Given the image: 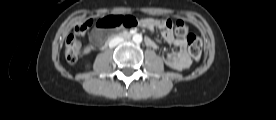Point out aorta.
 Listing matches in <instances>:
<instances>
[{"mask_svg":"<svg viewBox=\"0 0 276 120\" xmlns=\"http://www.w3.org/2000/svg\"><path fill=\"white\" fill-rule=\"evenodd\" d=\"M132 41L136 44H140L142 42V35L141 34H134L132 37Z\"/></svg>","mask_w":276,"mask_h":120,"instance_id":"762f6f07","label":"aorta"}]
</instances>
